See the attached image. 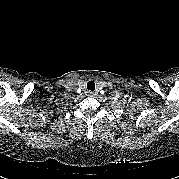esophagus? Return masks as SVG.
I'll return each mask as SVG.
<instances>
[{
	"instance_id": "obj_1",
	"label": "esophagus",
	"mask_w": 179,
	"mask_h": 179,
	"mask_svg": "<svg viewBox=\"0 0 179 179\" xmlns=\"http://www.w3.org/2000/svg\"><path fill=\"white\" fill-rule=\"evenodd\" d=\"M87 96L92 97V96H94V93H93V92H91V91H88V92H87Z\"/></svg>"
}]
</instances>
